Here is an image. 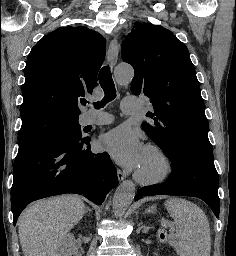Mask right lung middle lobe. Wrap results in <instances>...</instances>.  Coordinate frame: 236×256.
I'll use <instances>...</instances> for the list:
<instances>
[{
	"mask_svg": "<svg viewBox=\"0 0 236 256\" xmlns=\"http://www.w3.org/2000/svg\"><path fill=\"white\" fill-rule=\"evenodd\" d=\"M82 137L78 118L66 117L54 111L39 112L22 119L18 153L49 140H80Z\"/></svg>",
	"mask_w": 236,
	"mask_h": 256,
	"instance_id": "dd1d6c3e",
	"label": "right lung middle lobe"
}]
</instances>
